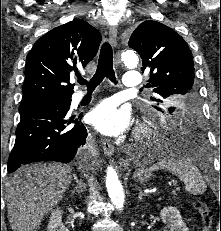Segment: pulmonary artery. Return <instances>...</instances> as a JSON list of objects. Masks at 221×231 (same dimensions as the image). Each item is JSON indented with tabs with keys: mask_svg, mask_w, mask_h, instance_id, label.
<instances>
[{
	"mask_svg": "<svg viewBox=\"0 0 221 231\" xmlns=\"http://www.w3.org/2000/svg\"><path fill=\"white\" fill-rule=\"evenodd\" d=\"M143 83V75L137 71L126 72L123 80L125 88H137ZM84 97V93L78 92L73 98V103L77 104Z\"/></svg>",
	"mask_w": 221,
	"mask_h": 231,
	"instance_id": "e3ab8cb5",
	"label": "pulmonary artery"
}]
</instances>
